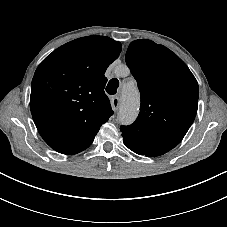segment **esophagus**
Listing matches in <instances>:
<instances>
[{
  "mask_svg": "<svg viewBox=\"0 0 227 227\" xmlns=\"http://www.w3.org/2000/svg\"><path fill=\"white\" fill-rule=\"evenodd\" d=\"M120 99L118 96H115L111 99V106L113 111H117L119 109Z\"/></svg>",
  "mask_w": 227,
  "mask_h": 227,
  "instance_id": "34e87169",
  "label": "esophagus"
}]
</instances>
